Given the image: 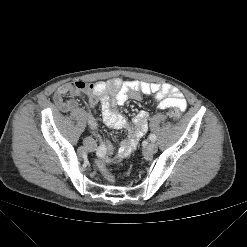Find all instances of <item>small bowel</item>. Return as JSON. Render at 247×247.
I'll return each mask as SVG.
<instances>
[{
  "label": "small bowel",
  "mask_w": 247,
  "mask_h": 247,
  "mask_svg": "<svg viewBox=\"0 0 247 247\" xmlns=\"http://www.w3.org/2000/svg\"><path fill=\"white\" fill-rule=\"evenodd\" d=\"M81 94H86L89 98L87 122L92 129H96L98 126L92 114V109L97 105L101 107V117L108 128L115 130L126 128L125 118L115 108L129 99L140 100L142 94L154 95L161 110L175 108L183 112L187 108V102L181 92L169 84L123 81L120 78H112L96 84H89L84 81L67 82L55 91L53 99L60 111L78 114L81 111L78 102L74 98L65 100L64 97L66 95L76 97ZM147 119L148 113L146 111L138 112L133 118L134 127L129 138L121 142L114 158L110 156L112 145L107 143L108 153L102 162L104 164L112 161L118 162L129 156L134 150L137 140L146 131Z\"/></svg>",
  "instance_id": "small-bowel-1"
}]
</instances>
